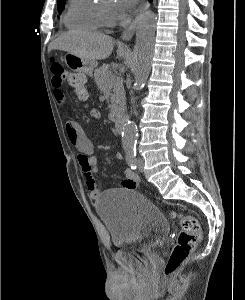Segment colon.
Masks as SVG:
<instances>
[{"instance_id":"colon-1","label":"colon","mask_w":245,"mask_h":300,"mask_svg":"<svg viewBox=\"0 0 245 300\" xmlns=\"http://www.w3.org/2000/svg\"><path fill=\"white\" fill-rule=\"evenodd\" d=\"M51 71L54 76L61 79L63 84L68 85L74 91L80 101L87 100L88 91L82 74L70 71L59 63H53ZM170 216L180 222L181 231L163 268L165 277H171L176 273L202 237L200 224L194 216L177 212H171Z\"/></svg>"}]
</instances>
